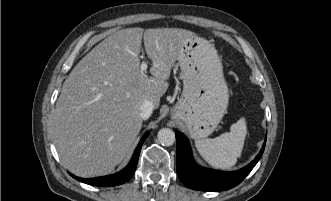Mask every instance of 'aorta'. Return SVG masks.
Returning a JSON list of instances; mask_svg holds the SVG:
<instances>
[{"mask_svg": "<svg viewBox=\"0 0 331 201\" xmlns=\"http://www.w3.org/2000/svg\"><path fill=\"white\" fill-rule=\"evenodd\" d=\"M158 141L164 146H171L175 142V133L169 128H162L157 134Z\"/></svg>", "mask_w": 331, "mask_h": 201, "instance_id": "762f6f07", "label": "aorta"}]
</instances>
